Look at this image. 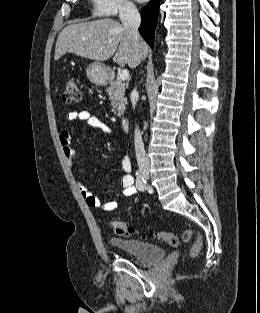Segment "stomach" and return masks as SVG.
Masks as SVG:
<instances>
[{
  "mask_svg": "<svg viewBox=\"0 0 260 313\" xmlns=\"http://www.w3.org/2000/svg\"><path fill=\"white\" fill-rule=\"evenodd\" d=\"M86 74L88 79L96 85H104L109 79V70L100 62L91 63L86 69Z\"/></svg>",
  "mask_w": 260,
  "mask_h": 313,
  "instance_id": "0dacf381",
  "label": "stomach"
}]
</instances>
